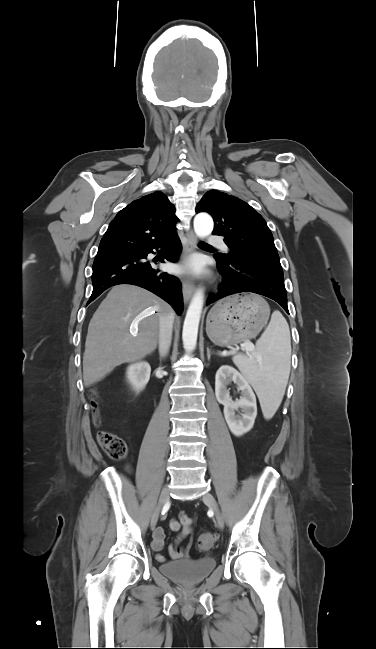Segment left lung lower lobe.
Wrapping results in <instances>:
<instances>
[{"label": "left lung lower lobe", "instance_id": "1", "mask_svg": "<svg viewBox=\"0 0 376 649\" xmlns=\"http://www.w3.org/2000/svg\"><path fill=\"white\" fill-rule=\"evenodd\" d=\"M215 259L223 281L219 291L208 298L207 305L235 293L252 292L273 299L289 314L283 272L256 262L227 263Z\"/></svg>", "mask_w": 376, "mask_h": 649}]
</instances>
